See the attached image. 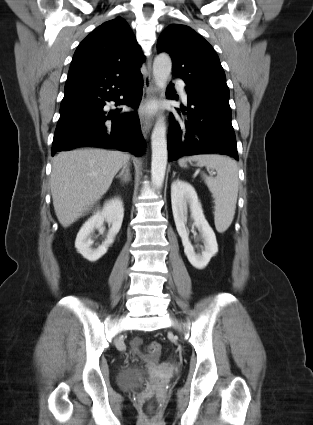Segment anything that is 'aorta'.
I'll return each mask as SVG.
<instances>
[{
  "label": "aorta",
  "mask_w": 313,
  "mask_h": 425,
  "mask_svg": "<svg viewBox=\"0 0 313 425\" xmlns=\"http://www.w3.org/2000/svg\"><path fill=\"white\" fill-rule=\"evenodd\" d=\"M172 70V61L169 55L161 53L157 55L153 62V76L157 87L164 91ZM152 162L151 179L155 188L160 189L164 182L168 150L166 139V125L163 117H160L151 135Z\"/></svg>",
  "instance_id": "aorta-1"
}]
</instances>
